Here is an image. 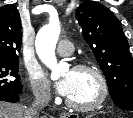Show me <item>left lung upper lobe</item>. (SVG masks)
<instances>
[{
	"label": "left lung upper lobe",
	"mask_w": 133,
	"mask_h": 118,
	"mask_svg": "<svg viewBox=\"0 0 133 118\" xmlns=\"http://www.w3.org/2000/svg\"><path fill=\"white\" fill-rule=\"evenodd\" d=\"M75 17L106 77L114 103L133 111V59L119 20L107 7L93 1L80 4Z\"/></svg>",
	"instance_id": "left-lung-upper-lobe-1"
}]
</instances>
